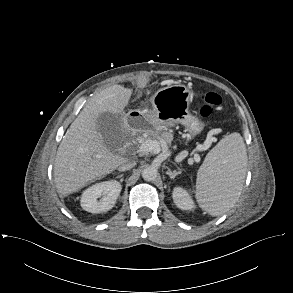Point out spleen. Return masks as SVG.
Returning <instances> with one entry per match:
<instances>
[{"instance_id": "1", "label": "spleen", "mask_w": 293, "mask_h": 293, "mask_svg": "<svg viewBox=\"0 0 293 293\" xmlns=\"http://www.w3.org/2000/svg\"><path fill=\"white\" fill-rule=\"evenodd\" d=\"M247 153L243 138L232 133L210 150L198 170L195 196L212 216L222 215L239 199L246 174Z\"/></svg>"}]
</instances>
